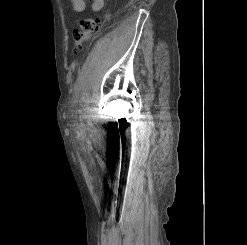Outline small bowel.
Masks as SVG:
<instances>
[{
	"label": "small bowel",
	"mask_w": 247,
	"mask_h": 245,
	"mask_svg": "<svg viewBox=\"0 0 247 245\" xmlns=\"http://www.w3.org/2000/svg\"><path fill=\"white\" fill-rule=\"evenodd\" d=\"M91 4V10L93 12H99L103 9L105 0H89ZM72 4V10L75 14H81L86 8L85 0H70Z\"/></svg>",
	"instance_id": "c3829d8e"
}]
</instances>
